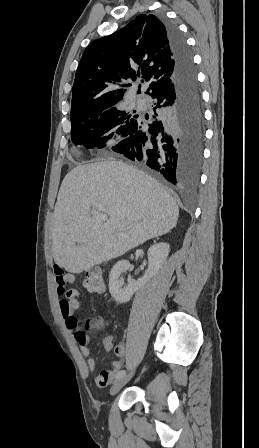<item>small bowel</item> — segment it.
Here are the masks:
<instances>
[{
	"label": "small bowel",
	"instance_id": "obj_1",
	"mask_svg": "<svg viewBox=\"0 0 259 448\" xmlns=\"http://www.w3.org/2000/svg\"><path fill=\"white\" fill-rule=\"evenodd\" d=\"M54 277L58 293L64 295V297L59 302V309L64 319L65 325L69 330L73 332L75 339L79 345L80 352L86 358V370L93 372L96 369V362L91 357L89 338L83 331L80 330L78 319L75 316V311L80 307L81 294L75 288L66 289V286L68 284L75 283V277L71 274H67L62 269V267L58 265H54ZM103 345L105 350H112L113 337H105L103 339ZM114 353L117 359L112 362L108 369L101 371L95 377V383L99 387H106L107 385H109L122 367V360L125 355V347L123 345H117L114 348Z\"/></svg>",
	"mask_w": 259,
	"mask_h": 448
}]
</instances>
